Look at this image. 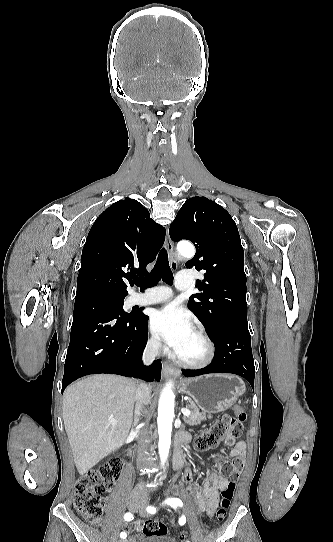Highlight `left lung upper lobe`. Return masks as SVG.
Here are the masks:
<instances>
[{"label": "left lung upper lobe", "instance_id": "obj_1", "mask_svg": "<svg viewBox=\"0 0 333 542\" xmlns=\"http://www.w3.org/2000/svg\"><path fill=\"white\" fill-rule=\"evenodd\" d=\"M170 237L190 240L196 247L187 268L205 270L196 282L203 291L193 294L188 308L212 337L230 321L247 322L244 250L230 214L206 197L189 198L170 224Z\"/></svg>", "mask_w": 333, "mask_h": 542}]
</instances>
